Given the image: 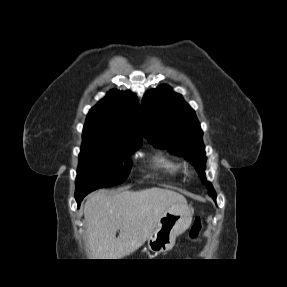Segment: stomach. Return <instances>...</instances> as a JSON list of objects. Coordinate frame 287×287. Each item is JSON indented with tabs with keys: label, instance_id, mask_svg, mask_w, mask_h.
<instances>
[{
	"label": "stomach",
	"instance_id": "1",
	"mask_svg": "<svg viewBox=\"0 0 287 287\" xmlns=\"http://www.w3.org/2000/svg\"><path fill=\"white\" fill-rule=\"evenodd\" d=\"M193 209L187 202L171 205L160 217L155 229L147 239L150 251L164 253L173 248L176 237L191 224Z\"/></svg>",
	"mask_w": 287,
	"mask_h": 287
}]
</instances>
